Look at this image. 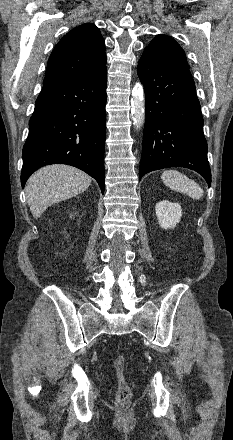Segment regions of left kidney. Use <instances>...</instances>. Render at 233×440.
Listing matches in <instances>:
<instances>
[{"label":"left kidney","mask_w":233,"mask_h":440,"mask_svg":"<svg viewBox=\"0 0 233 440\" xmlns=\"http://www.w3.org/2000/svg\"><path fill=\"white\" fill-rule=\"evenodd\" d=\"M155 210L158 223L163 229L174 228L180 222L182 209L178 203L163 200L156 204Z\"/></svg>","instance_id":"1"}]
</instances>
